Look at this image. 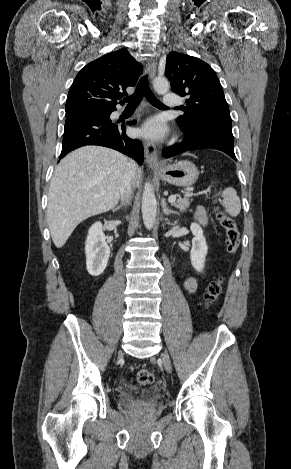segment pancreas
I'll use <instances>...</instances> for the list:
<instances>
[{
	"mask_svg": "<svg viewBox=\"0 0 291 469\" xmlns=\"http://www.w3.org/2000/svg\"><path fill=\"white\" fill-rule=\"evenodd\" d=\"M178 199L172 203V205L176 208H178L181 212H185L186 209L190 206V201L187 197H180L179 195H176Z\"/></svg>",
	"mask_w": 291,
	"mask_h": 469,
	"instance_id": "obj_1",
	"label": "pancreas"
}]
</instances>
